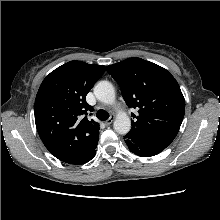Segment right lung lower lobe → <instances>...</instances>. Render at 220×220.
I'll return each instance as SVG.
<instances>
[{
  "instance_id": "98d812e1",
  "label": "right lung lower lobe",
  "mask_w": 220,
  "mask_h": 220,
  "mask_svg": "<svg viewBox=\"0 0 220 220\" xmlns=\"http://www.w3.org/2000/svg\"><path fill=\"white\" fill-rule=\"evenodd\" d=\"M97 146V144H96ZM96 146L88 153L86 154L82 159H80L78 162L74 163L76 165L84 164L88 161H90L96 154L95 148Z\"/></svg>"
}]
</instances>
